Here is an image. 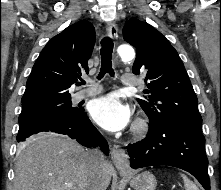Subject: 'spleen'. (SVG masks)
<instances>
[{
    "label": "spleen",
    "instance_id": "spleen-1",
    "mask_svg": "<svg viewBox=\"0 0 221 190\" xmlns=\"http://www.w3.org/2000/svg\"><path fill=\"white\" fill-rule=\"evenodd\" d=\"M181 177L184 181V186L186 190H199L195 183L189 180L187 176L182 174Z\"/></svg>",
    "mask_w": 221,
    "mask_h": 190
}]
</instances>
